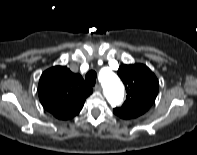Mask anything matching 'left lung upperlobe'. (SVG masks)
Listing matches in <instances>:
<instances>
[{"label":"left lung upper lobe","mask_w":197,"mask_h":155,"mask_svg":"<svg viewBox=\"0 0 197 155\" xmlns=\"http://www.w3.org/2000/svg\"><path fill=\"white\" fill-rule=\"evenodd\" d=\"M118 75L125 84L127 96L121 107L113 112L123 119L136 118L145 113L154 103L159 83L154 73L143 64L122 65Z\"/></svg>","instance_id":"5c2ea615"}]
</instances>
